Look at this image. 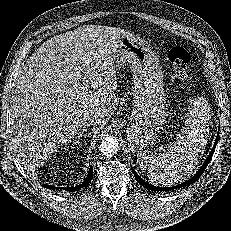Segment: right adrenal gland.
<instances>
[{
    "instance_id": "2a0ac1e0",
    "label": "right adrenal gland",
    "mask_w": 231,
    "mask_h": 231,
    "mask_svg": "<svg viewBox=\"0 0 231 231\" xmlns=\"http://www.w3.org/2000/svg\"><path fill=\"white\" fill-rule=\"evenodd\" d=\"M85 132H86L85 129H81V131L77 133V136L74 137L76 139V142H75L76 144H80L79 140Z\"/></svg>"
}]
</instances>
